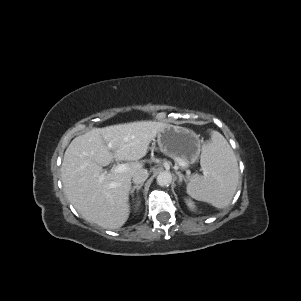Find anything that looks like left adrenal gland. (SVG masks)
I'll list each match as a JSON object with an SVG mask.
<instances>
[{"instance_id": "1", "label": "left adrenal gland", "mask_w": 301, "mask_h": 301, "mask_svg": "<svg viewBox=\"0 0 301 301\" xmlns=\"http://www.w3.org/2000/svg\"><path fill=\"white\" fill-rule=\"evenodd\" d=\"M176 174L178 175V177H179V184L184 180L185 182H186V178H185V176L181 173V172H179V171H176Z\"/></svg>"}]
</instances>
